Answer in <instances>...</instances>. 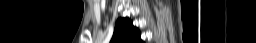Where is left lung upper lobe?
Listing matches in <instances>:
<instances>
[{"label": "left lung upper lobe", "mask_w": 256, "mask_h": 43, "mask_svg": "<svg viewBox=\"0 0 256 43\" xmlns=\"http://www.w3.org/2000/svg\"><path fill=\"white\" fill-rule=\"evenodd\" d=\"M110 43H143L139 30L129 18H119Z\"/></svg>", "instance_id": "obj_1"}]
</instances>
